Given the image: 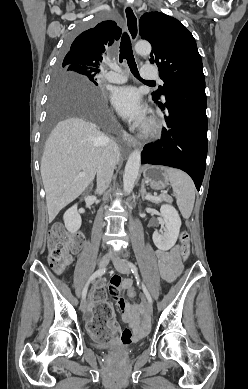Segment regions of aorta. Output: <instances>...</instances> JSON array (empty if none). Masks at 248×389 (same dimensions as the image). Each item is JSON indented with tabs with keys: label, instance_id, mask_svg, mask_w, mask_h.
<instances>
[{
	"label": "aorta",
	"instance_id": "obj_1",
	"mask_svg": "<svg viewBox=\"0 0 248 389\" xmlns=\"http://www.w3.org/2000/svg\"><path fill=\"white\" fill-rule=\"evenodd\" d=\"M135 50L141 55H149L151 52V45L148 42H138L135 45ZM141 165V152L140 150H134L128 157L124 176H123V189L126 194L132 192L135 182L138 177L139 169Z\"/></svg>",
	"mask_w": 248,
	"mask_h": 389
}]
</instances>
